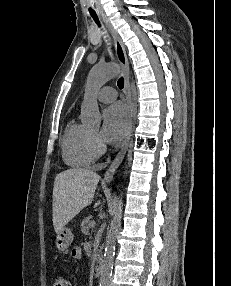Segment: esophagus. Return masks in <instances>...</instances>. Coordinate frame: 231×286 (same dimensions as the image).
Segmentation results:
<instances>
[{"instance_id": "34e87169", "label": "esophagus", "mask_w": 231, "mask_h": 286, "mask_svg": "<svg viewBox=\"0 0 231 286\" xmlns=\"http://www.w3.org/2000/svg\"><path fill=\"white\" fill-rule=\"evenodd\" d=\"M102 19L105 22L108 30L110 31L113 41H114V47H115V52L117 59L119 63L122 66L123 69V76H124V94H125V101L126 105L128 108V113H129V121H128V128L124 137V140L122 142L121 148L119 152L117 153L116 157L112 161L111 165L109 166L108 170L106 171L104 175V180L106 182H111L113 180L115 171L117 168L120 166L122 163L125 154L127 152L129 142L132 136V131H133V122H134V115H135V109L133 106L132 102V97H131V91H130V82H129V62L127 59L126 51L123 46V43L121 41V38L118 34V32L114 29L110 21L102 15Z\"/></svg>"}]
</instances>
